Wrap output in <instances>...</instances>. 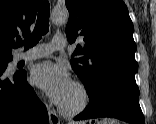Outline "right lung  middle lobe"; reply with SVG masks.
<instances>
[{"label":"right lung middle lobe","mask_w":156,"mask_h":124,"mask_svg":"<svg viewBox=\"0 0 156 124\" xmlns=\"http://www.w3.org/2000/svg\"><path fill=\"white\" fill-rule=\"evenodd\" d=\"M11 59H5V60H0V61H3V62H9Z\"/></svg>","instance_id":"right-lung-middle-lobe-1"}]
</instances>
